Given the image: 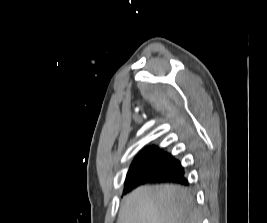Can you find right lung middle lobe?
Masks as SVG:
<instances>
[{
    "mask_svg": "<svg viewBox=\"0 0 267 223\" xmlns=\"http://www.w3.org/2000/svg\"><path fill=\"white\" fill-rule=\"evenodd\" d=\"M179 165L180 162L174 159L170 154L161 152L149 160L132 164L128 175L143 171L169 173Z\"/></svg>",
    "mask_w": 267,
    "mask_h": 223,
    "instance_id": "obj_1",
    "label": "right lung middle lobe"
}]
</instances>
